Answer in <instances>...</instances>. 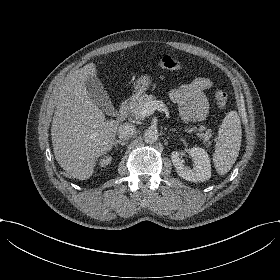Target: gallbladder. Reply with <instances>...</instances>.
<instances>
[{
    "mask_svg": "<svg viewBox=\"0 0 280 280\" xmlns=\"http://www.w3.org/2000/svg\"><path fill=\"white\" fill-rule=\"evenodd\" d=\"M88 97L102 108L109 116L117 115V111L113 107L107 92L104 90L102 83L95 77L88 76L84 80Z\"/></svg>",
    "mask_w": 280,
    "mask_h": 280,
    "instance_id": "obj_1",
    "label": "gallbladder"
}]
</instances>
